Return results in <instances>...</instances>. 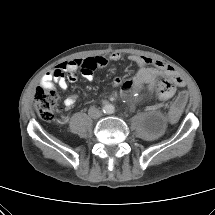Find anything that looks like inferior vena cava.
<instances>
[{"label": "inferior vena cava", "mask_w": 215, "mask_h": 215, "mask_svg": "<svg viewBox=\"0 0 215 215\" xmlns=\"http://www.w3.org/2000/svg\"><path fill=\"white\" fill-rule=\"evenodd\" d=\"M88 114L94 119L99 118L102 115L101 111L94 106L89 108Z\"/></svg>", "instance_id": "inferior-vena-cava-1"}]
</instances>
